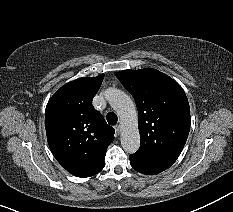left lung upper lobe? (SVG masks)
I'll return each mask as SVG.
<instances>
[{"label": "left lung upper lobe", "instance_id": "5c2ea615", "mask_svg": "<svg viewBox=\"0 0 233 212\" xmlns=\"http://www.w3.org/2000/svg\"><path fill=\"white\" fill-rule=\"evenodd\" d=\"M116 76L134 97L139 113L141 141L136 154L171 166L190 130V108L183 88L153 68L123 70Z\"/></svg>", "mask_w": 233, "mask_h": 212}]
</instances>
